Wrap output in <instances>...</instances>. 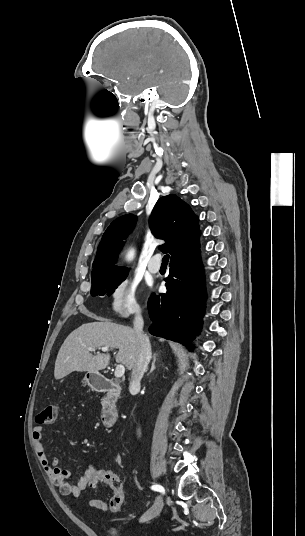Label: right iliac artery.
Masks as SVG:
<instances>
[{"instance_id":"1","label":"right iliac artery","mask_w":305,"mask_h":536,"mask_svg":"<svg viewBox=\"0 0 305 536\" xmlns=\"http://www.w3.org/2000/svg\"><path fill=\"white\" fill-rule=\"evenodd\" d=\"M152 490L164 493V488L161 485H153Z\"/></svg>"}]
</instances>
